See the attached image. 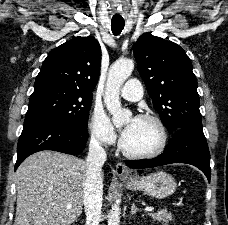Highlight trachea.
Instances as JSON below:
<instances>
[{"label":"trachea","mask_w":228,"mask_h":225,"mask_svg":"<svg viewBox=\"0 0 228 225\" xmlns=\"http://www.w3.org/2000/svg\"><path fill=\"white\" fill-rule=\"evenodd\" d=\"M112 32L114 35H119L124 28L123 18H112L111 22Z\"/></svg>","instance_id":"obj_1"}]
</instances>
